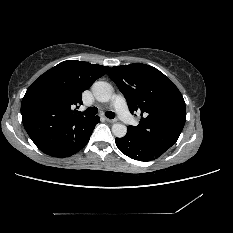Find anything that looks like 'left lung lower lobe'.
<instances>
[{
    "label": "left lung lower lobe",
    "instance_id": "1",
    "mask_svg": "<svg viewBox=\"0 0 233 233\" xmlns=\"http://www.w3.org/2000/svg\"><path fill=\"white\" fill-rule=\"evenodd\" d=\"M115 142L122 153L135 160L151 161L157 159L165 152L164 150L147 146L129 134L122 138H116Z\"/></svg>",
    "mask_w": 233,
    "mask_h": 233
}]
</instances>
